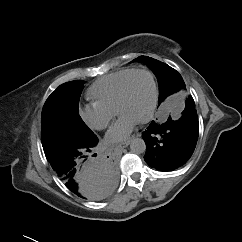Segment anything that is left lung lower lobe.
Segmentation results:
<instances>
[{
    "label": "left lung lower lobe",
    "mask_w": 242,
    "mask_h": 242,
    "mask_svg": "<svg viewBox=\"0 0 242 242\" xmlns=\"http://www.w3.org/2000/svg\"><path fill=\"white\" fill-rule=\"evenodd\" d=\"M199 135L195 103L190 96L178 120L171 117L164 123L152 121L142 134L146 144V163L160 171L182 167L192 156Z\"/></svg>",
    "instance_id": "1"
}]
</instances>
